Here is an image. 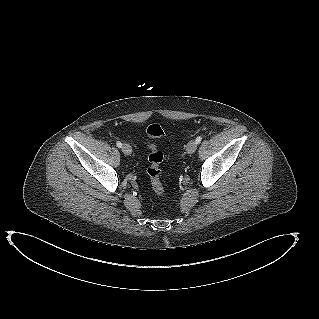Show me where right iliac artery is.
Masks as SVG:
<instances>
[{
    "label": "right iliac artery",
    "mask_w": 319,
    "mask_h": 319,
    "mask_svg": "<svg viewBox=\"0 0 319 319\" xmlns=\"http://www.w3.org/2000/svg\"><path fill=\"white\" fill-rule=\"evenodd\" d=\"M117 147L121 148L122 147V143L120 141H117L116 143Z\"/></svg>",
    "instance_id": "right-iliac-artery-1"
}]
</instances>
